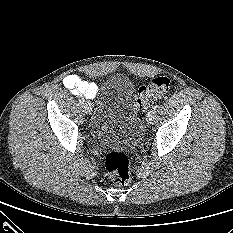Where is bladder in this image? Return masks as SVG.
Segmentation results:
<instances>
[{
    "label": "bladder",
    "mask_w": 233,
    "mask_h": 233,
    "mask_svg": "<svg viewBox=\"0 0 233 233\" xmlns=\"http://www.w3.org/2000/svg\"><path fill=\"white\" fill-rule=\"evenodd\" d=\"M133 82L125 75L111 77L96 99L91 131L97 144L135 145L141 136Z\"/></svg>",
    "instance_id": "bladder-1"
}]
</instances>
